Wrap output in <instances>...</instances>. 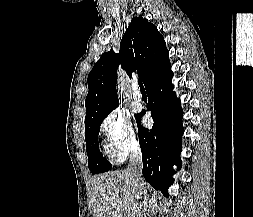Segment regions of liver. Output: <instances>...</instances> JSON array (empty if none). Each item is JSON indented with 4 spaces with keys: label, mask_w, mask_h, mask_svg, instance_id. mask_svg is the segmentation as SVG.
I'll return each mask as SVG.
<instances>
[{
    "label": "liver",
    "mask_w": 253,
    "mask_h": 217,
    "mask_svg": "<svg viewBox=\"0 0 253 217\" xmlns=\"http://www.w3.org/2000/svg\"><path fill=\"white\" fill-rule=\"evenodd\" d=\"M140 182L145 187L143 197L135 192L138 187L128 170L94 176L90 199L93 217H141L144 209L154 212V198L148 194L152 189L144 180Z\"/></svg>",
    "instance_id": "liver-1"
}]
</instances>
